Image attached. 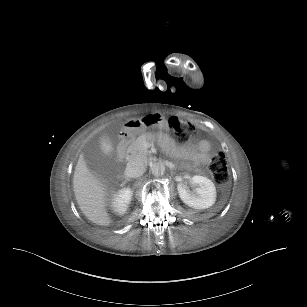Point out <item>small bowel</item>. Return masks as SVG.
<instances>
[{"mask_svg": "<svg viewBox=\"0 0 307 307\" xmlns=\"http://www.w3.org/2000/svg\"><path fill=\"white\" fill-rule=\"evenodd\" d=\"M187 152L196 164L207 163L212 156L210 144L206 140L189 145Z\"/></svg>", "mask_w": 307, "mask_h": 307, "instance_id": "c3829d8e", "label": "small bowel"}]
</instances>
